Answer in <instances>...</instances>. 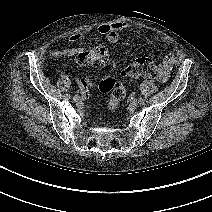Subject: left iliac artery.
I'll list each match as a JSON object with an SVG mask.
<instances>
[{
	"label": "left iliac artery",
	"mask_w": 212,
	"mask_h": 212,
	"mask_svg": "<svg viewBox=\"0 0 212 212\" xmlns=\"http://www.w3.org/2000/svg\"><path fill=\"white\" fill-rule=\"evenodd\" d=\"M138 103L140 104V105H144L145 104V100L143 99V98H138Z\"/></svg>",
	"instance_id": "left-iliac-artery-1"
}]
</instances>
